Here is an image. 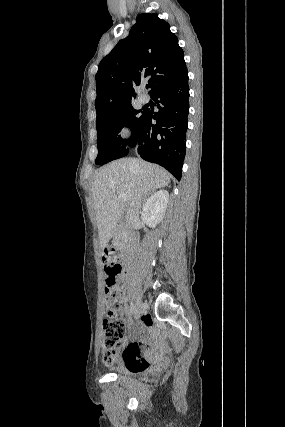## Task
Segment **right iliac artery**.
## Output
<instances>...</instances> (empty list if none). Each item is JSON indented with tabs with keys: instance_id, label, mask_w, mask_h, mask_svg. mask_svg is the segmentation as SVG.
<instances>
[{
	"instance_id": "right-iliac-artery-1",
	"label": "right iliac artery",
	"mask_w": 285,
	"mask_h": 427,
	"mask_svg": "<svg viewBox=\"0 0 285 427\" xmlns=\"http://www.w3.org/2000/svg\"><path fill=\"white\" fill-rule=\"evenodd\" d=\"M134 311H135V305H134V303H131V305H130V315H132L134 313Z\"/></svg>"
}]
</instances>
